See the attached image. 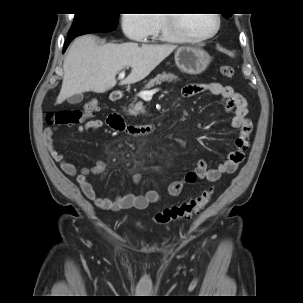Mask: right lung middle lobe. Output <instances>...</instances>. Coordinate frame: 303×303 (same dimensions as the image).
Returning <instances> with one entry per match:
<instances>
[{"instance_id":"dd1d6c3e","label":"right lung middle lobe","mask_w":303,"mask_h":303,"mask_svg":"<svg viewBox=\"0 0 303 303\" xmlns=\"http://www.w3.org/2000/svg\"><path fill=\"white\" fill-rule=\"evenodd\" d=\"M119 19L118 13H83L75 14L74 22L68 36L81 35L94 28H116Z\"/></svg>"}]
</instances>
